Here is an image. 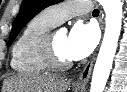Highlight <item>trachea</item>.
Segmentation results:
<instances>
[{"mask_svg":"<svg viewBox=\"0 0 127 92\" xmlns=\"http://www.w3.org/2000/svg\"><path fill=\"white\" fill-rule=\"evenodd\" d=\"M93 15H99V10L98 9H95L93 12H92Z\"/></svg>","mask_w":127,"mask_h":92,"instance_id":"1","label":"trachea"}]
</instances>
